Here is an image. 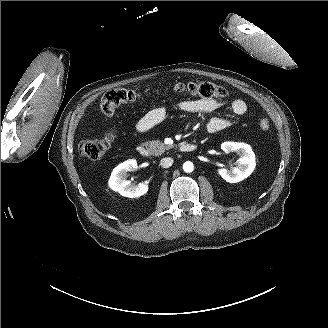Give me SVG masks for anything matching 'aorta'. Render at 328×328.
<instances>
[{"mask_svg": "<svg viewBox=\"0 0 328 328\" xmlns=\"http://www.w3.org/2000/svg\"><path fill=\"white\" fill-rule=\"evenodd\" d=\"M193 169H194V165H193L192 162H190V161H186V162H184V164H183V170H184L186 173H190V172H192Z\"/></svg>", "mask_w": 328, "mask_h": 328, "instance_id": "aorta-1", "label": "aorta"}]
</instances>
